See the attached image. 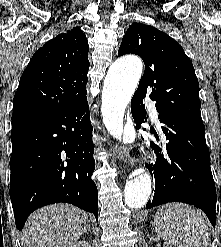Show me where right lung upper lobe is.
Wrapping results in <instances>:
<instances>
[{
	"label": "right lung upper lobe",
	"mask_w": 221,
	"mask_h": 247,
	"mask_svg": "<svg viewBox=\"0 0 221 247\" xmlns=\"http://www.w3.org/2000/svg\"><path fill=\"white\" fill-rule=\"evenodd\" d=\"M88 42L74 27L39 48L13 99L12 120L70 107L86 98Z\"/></svg>",
	"instance_id": "1"
}]
</instances>
